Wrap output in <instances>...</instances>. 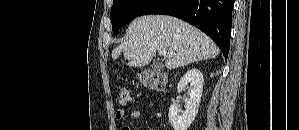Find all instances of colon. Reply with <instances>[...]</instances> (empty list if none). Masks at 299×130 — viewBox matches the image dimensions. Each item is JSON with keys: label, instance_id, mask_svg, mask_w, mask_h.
<instances>
[{"label": "colon", "instance_id": "1", "mask_svg": "<svg viewBox=\"0 0 299 130\" xmlns=\"http://www.w3.org/2000/svg\"><path fill=\"white\" fill-rule=\"evenodd\" d=\"M139 83L150 89H163L168 85L169 74L164 71L139 70L137 72ZM120 104L126 105L131 99V93L127 87H120L118 90Z\"/></svg>", "mask_w": 299, "mask_h": 130}]
</instances>
